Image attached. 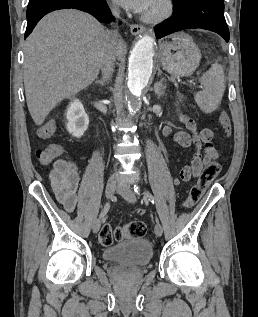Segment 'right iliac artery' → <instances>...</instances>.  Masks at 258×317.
Segmentation results:
<instances>
[{"label": "right iliac artery", "instance_id": "right-iliac-artery-1", "mask_svg": "<svg viewBox=\"0 0 258 317\" xmlns=\"http://www.w3.org/2000/svg\"><path fill=\"white\" fill-rule=\"evenodd\" d=\"M110 206H111V203L110 201H108L99 215L100 219L103 218L108 213Z\"/></svg>", "mask_w": 258, "mask_h": 317}]
</instances>
